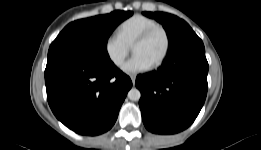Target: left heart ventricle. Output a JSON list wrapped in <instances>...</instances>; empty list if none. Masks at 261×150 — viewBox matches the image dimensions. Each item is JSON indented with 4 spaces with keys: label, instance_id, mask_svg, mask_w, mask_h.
<instances>
[{
    "label": "left heart ventricle",
    "instance_id": "obj_1",
    "mask_svg": "<svg viewBox=\"0 0 261 150\" xmlns=\"http://www.w3.org/2000/svg\"><path fill=\"white\" fill-rule=\"evenodd\" d=\"M164 48L165 37L161 31H157L146 42L138 45L133 53L142 56L152 65L161 57Z\"/></svg>",
    "mask_w": 261,
    "mask_h": 150
}]
</instances>
